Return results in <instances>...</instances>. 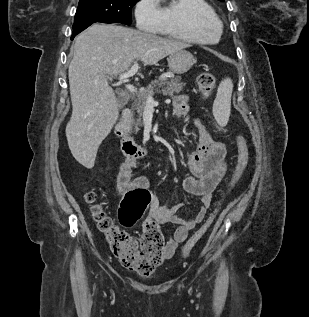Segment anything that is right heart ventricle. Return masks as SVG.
<instances>
[{"label":"right heart ventricle","instance_id":"right-heart-ventricle-1","mask_svg":"<svg viewBox=\"0 0 309 317\" xmlns=\"http://www.w3.org/2000/svg\"><path fill=\"white\" fill-rule=\"evenodd\" d=\"M162 22L156 33L195 44L219 40L221 21L206 0H166L160 6ZM200 19L207 24L198 26Z\"/></svg>","mask_w":309,"mask_h":317}]
</instances>
